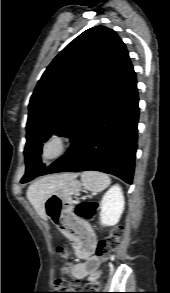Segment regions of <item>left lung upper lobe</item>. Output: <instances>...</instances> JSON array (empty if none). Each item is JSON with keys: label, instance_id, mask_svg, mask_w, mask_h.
<instances>
[{"label": "left lung upper lobe", "instance_id": "1", "mask_svg": "<svg viewBox=\"0 0 170 293\" xmlns=\"http://www.w3.org/2000/svg\"><path fill=\"white\" fill-rule=\"evenodd\" d=\"M129 61L125 44L104 26L84 31L54 58L30 99L21 183L44 170L42 143L54 133L72 139Z\"/></svg>", "mask_w": 170, "mask_h": 293}]
</instances>
